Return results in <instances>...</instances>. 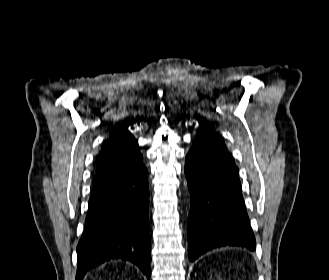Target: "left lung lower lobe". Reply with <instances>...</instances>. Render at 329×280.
<instances>
[{
  "label": "left lung lower lobe",
  "mask_w": 329,
  "mask_h": 280,
  "mask_svg": "<svg viewBox=\"0 0 329 280\" xmlns=\"http://www.w3.org/2000/svg\"><path fill=\"white\" fill-rule=\"evenodd\" d=\"M191 192L188 216L189 259L209 250L236 246L255 250V238L242 197L238 169L229 155L218 157V167L205 173L185 163Z\"/></svg>",
  "instance_id": "0a47b994"
}]
</instances>
